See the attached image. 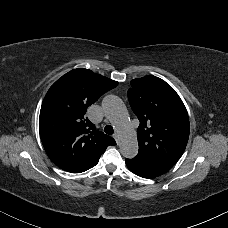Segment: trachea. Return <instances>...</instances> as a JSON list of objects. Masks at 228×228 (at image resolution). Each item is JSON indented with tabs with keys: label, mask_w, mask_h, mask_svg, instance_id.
<instances>
[{
	"label": "trachea",
	"mask_w": 228,
	"mask_h": 228,
	"mask_svg": "<svg viewBox=\"0 0 228 228\" xmlns=\"http://www.w3.org/2000/svg\"><path fill=\"white\" fill-rule=\"evenodd\" d=\"M104 132L108 135H112L114 133L113 127L111 125H106L104 128Z\"/></svg>",
	"instance_id": "trachea-1"
}]
</instances>
